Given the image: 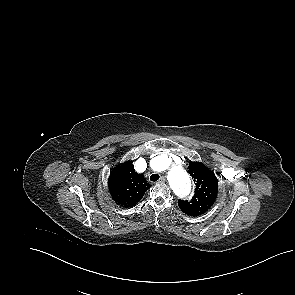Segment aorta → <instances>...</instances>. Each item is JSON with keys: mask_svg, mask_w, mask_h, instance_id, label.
<instances>
[{"mask_svg": "<svg viewBox=\"0 0 295 295\" xmlns=\"http://www.w3.org/2000/svg\"><path fill=\"white\" fill-rule=\"evenodd\" d=\"M165 162H169L168 158H164ZM168 181L176 193L180 197H184L189 194L191 189V183L188 174L180 166H171L167 173Z\"/></svg>", "mask_w": 295, "mask_h": 295, "instance_id": "obj_1", "label": "aorta"}]
</instances>
